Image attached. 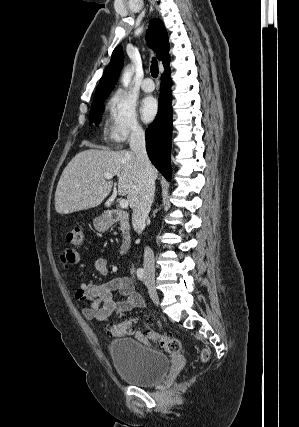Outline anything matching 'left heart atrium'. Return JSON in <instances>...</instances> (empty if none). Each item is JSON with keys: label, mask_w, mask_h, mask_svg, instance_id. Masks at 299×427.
<instances>
[{"label": "left heart atrium", "mask_w": 299, "mask_h": 427, "mask_svg": "<svg viewBox=\"0 0 299 427\" xmlns=\"http://www.w3.org/2000/svg\"><path fill=\"white\" fill-rule=\"evenodd\" d=\"M157 101L151 97H145L140 103V114L144 122H150L154 119L157 113Z\"/></svg>", "instance_id": "1"}]
</instances>
